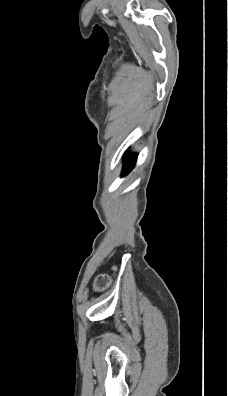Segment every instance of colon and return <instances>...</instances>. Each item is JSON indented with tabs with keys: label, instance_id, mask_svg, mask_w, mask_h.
Listing matches in <instances>:
<instances>
[{
	"label": "colon",
	"instance_id": "1",
	"mask_svg": "<svg viewBox=\"0 0 228 396\" xmlns=\"http://www.w3.org/2000/svg\"><path fill=\"white\" fill-rule=\"evenodd\" d=\"M109 282H110V278L108 275L100 274L95 279L94 288L99 291L104 290L109 285Z\"/></svg>",
	"mask_w": 228,
	"mask_h": 396
}]
</instances>
